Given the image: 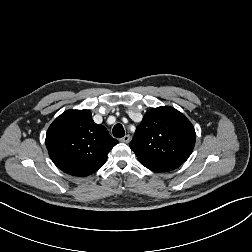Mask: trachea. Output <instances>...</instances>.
<instances>
[{
	"instance_id": "3493384b",
	"label": "trachea",
	"mask_w": 252,
	"mask_h": 252,
	"mask_svg": "<svg viewBox=\"0 0 252 252\" xmlns=\"http://www.w3.org/2000/svg\"><path fill=\"white\" fill-rule=\"evenodd\" d=\"M125 135V131H124V128L121 124H116L114 127H113V136L114 137H117V138H121Z\"/></svg>"
}]
</instances>
